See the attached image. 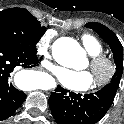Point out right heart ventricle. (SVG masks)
<instances>
[{
	"label": "right heart ventricle",
	"instance_id": "right-heart-ventricle-1",
	"mask_svg": "<svg viewBox=\"0 0 124 124\" xmlns=\"http://www.w3.org/2000/svg\"><path fill=\"white\" fill-rule=\"evenodd\" d=\"M81 42L86 51L90 55L102 54L103 45L97 37L92 34H84L81 37Z\"/></svg>",
	"mask_w": 124,
	"mask_h": 124
}]
</instances>
